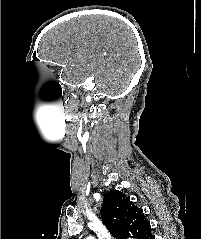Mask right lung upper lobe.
<instances>
[{"mask_svg":"<svg viewBox=\"0 0 201 239\" xmlns=\"http://www.w3.org/2000/svg\"><path fill=\"white\" fill-rule=\"evenodd\" d=\"M101 218L117 239H149L151 226L143 210L121 191L108 192L101 207Z\"/></svg>","mask_w":201,"mask_h":239,"instance_id":"cb5924a9","label":"right lung upper lobe"}]
</instances>
